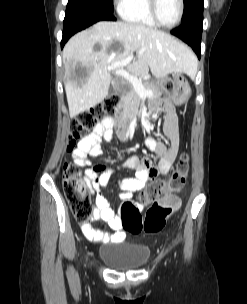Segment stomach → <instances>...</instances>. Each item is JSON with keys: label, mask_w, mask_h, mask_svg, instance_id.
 <instances>
[{"label": "stomach", "mask_w": 247, "mask_h": 304, "mask_svg": "<svg viewBox=\"0 0 247 304\" xmlns=\"http://www.w3.org/2000/svg\"><path fill=\"white\" fill-rule=\"evenodd\" d=\"M161 87L171 102L177 106L184 104L191 94L189 82L181 73H173L170 83L162 84Z\"/></svg>", "instance_id": "stomach-1"}]
</instances>
